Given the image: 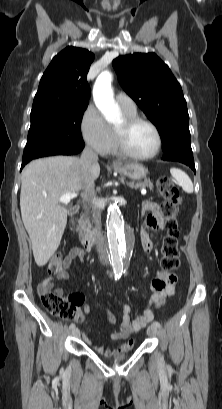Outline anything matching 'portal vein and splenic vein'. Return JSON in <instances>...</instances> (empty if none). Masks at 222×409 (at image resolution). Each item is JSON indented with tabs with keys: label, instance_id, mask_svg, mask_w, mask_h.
<instances>
[{
	"label": "portal vein and splenic vein",
	"instance_id": "portal-vein-and-splenic-vein-1",
	"mask_svg": "<svg viewBox=\"0 0 222 409\" xmlns=\"http://www.w3.org/2000/svg\"><path fill=\"white\" fill-rule=\"evenodd\" d=\"M142 195L146 194V190H142L141 191ZM77 193H66L64 195H62L59 199V202L63 203V204H68L73 198L77 197Z\"/></svg>",
	"mask_w": 222,
	"mask_h": 409
}]
</instances>
